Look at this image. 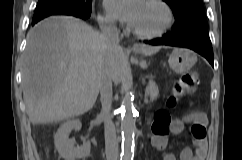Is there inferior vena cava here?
I'll return each mask as SVG.
<instances>
[{
    "label": "inferior vena cava",
    "instance_id": "602c4592",
    "mask_svg": "<svg viewBox=\"0 0 242 160\" xmlns=\"http://www.w3.org/2000/svg\"><path fill=\"white\" fill-rule=\"evenodd\" d=\"M100 28L108 45L117 46L119 44V32L113 23H103L100 25ZM120 63L121 58H118V51L114 50L108 68L105 69V72H102L99 80L102 105L100 117L104 122L106 160H117L118 157V140L116 128L112 122L111 106L112 81L117 79V73L121 67Z\"/></svg>",
    "mask_w": 242,
    "mask_h": 160
}]
</instances>
